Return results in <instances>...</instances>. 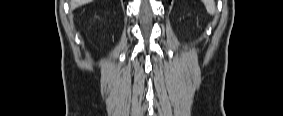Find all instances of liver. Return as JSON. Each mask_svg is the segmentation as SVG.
<instances>
[{"instance_id":"obj_1","label":"liver","mask_w":283,"mask_h":116,"mask_svg":"<svg viewBox=\"0 0 283 116\" xmlns=\"http://www.w3.org/2000/svg\"><path fill=\"white\" fill-rule=\"evenodd\" d=\"M92 0H70V7L71 9H75L81 5L87 4Z\"/></svg>"}]
</instances>
